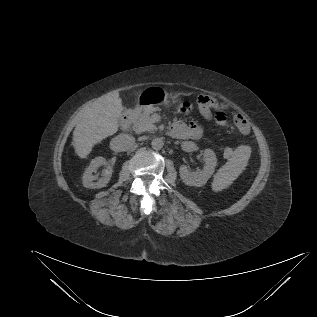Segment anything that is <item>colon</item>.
Returning <instances> with one entry per match:
<instances>
[{
	"label": "colon",
	"instance_id": "5ec220e1",
	"mask_svg": "<svg viewBox=\"0 0 317 317\" xmlns=\"http://www.w3.org/2000/svg\"><path fill=\"white\" fill-rule=\"evenodd\" d=\"M197 106L199 110L203 113H210L212 110L215 111V118L218 122H223L225 120V112L224 108L217 100L209 95H201L197 98ZM189 109V105H184L181 110L187 111ZM234 120L237 126H241L242 122L240 121L239 114L234 115ZM246 120V119H245ZM247 121V120H246Z\"/></svg>",
	"mask_w": 317,
	"mask_h": 317
}]
</instances>
